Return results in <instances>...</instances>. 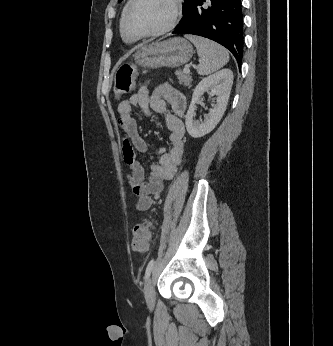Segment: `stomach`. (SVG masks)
Here are the masks:
<instances>
[{"instance_id": "obj_1", "label": "stomach", "mask_w": 333, "mask_h": 346, "mask_svg": "<svg viewBox=\"0 0 333 346\" xmlns=\"http://www.w3.org/2000/svg\"><path fill=\"white\" fill-rule=\"evenodd\" d=\"M194 53L187 40L176 37L141 47L135 54V63L143 68L179 67L187 63Z\"/></svg>"}]
</instances>
